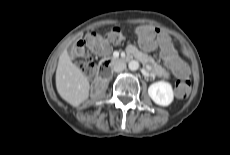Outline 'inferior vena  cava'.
<instances>
[{
	"mask_svg": "<svg viewBox=\"0 0 230 155\" xmlns=\"http://www.w3.org/2000/svg\"><path fill=\"white\" fill-rule=\"evenodd\" d=\"M126 69V63L124 61H117L113 66V71L121 72Z\"/></svg>",
	"mask_w": 230,
	"mask_h": 155,
	"instance_id": "1",
	"label": "inferior vena cava"
}]
</instances>
